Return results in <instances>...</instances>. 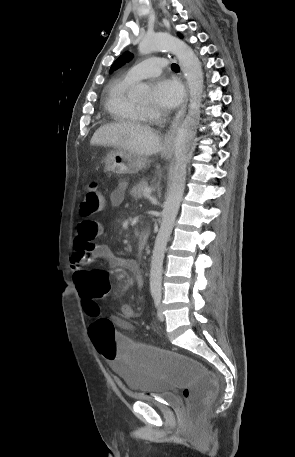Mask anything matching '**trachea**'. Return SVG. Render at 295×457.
<instances>
[{
	"instance_id": "1",
	"label": "trachea",
	"mask_w": 295,
	"mask_h": 457,
	"mask_svg": "<svg viewBox=\"0 0 295 457\" xmlns=\"http://www.w3.org/2000/svg\"><path fill=\"white\" fill-rule=\"evenodd\" d=\"M171 68H172L173 70H178V69H179V66H178L177 64L174 63V64H172Z\"/></svg>"
}]
</instances>
